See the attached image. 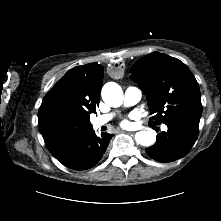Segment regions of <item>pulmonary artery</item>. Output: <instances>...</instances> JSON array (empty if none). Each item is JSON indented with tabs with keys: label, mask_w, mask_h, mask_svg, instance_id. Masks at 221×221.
Wrapping results in <instances>:
<instances>
[{
	"label": "pulmonary artery",
	"mask_w": 221,
	"mask_h": 221,
	"mask_svg": "<svg viewBox=\"0 0 221 221\" xmlns=\"http://www.w3.org/2000/svg\"><path fill=\"white\" fill-rule=\"evenodd\" d=\"M142 97V92L137 87H128L124 92V103L127 106L135 105L137 104ZM111 118V115H101L92 120V125L95 129L100 128L101 126L105 125L109 119ZM163 130H167V126H162Z\"/></svg>",
	"instance_id": "pulmonary-artery-1"
}]
</instances>
